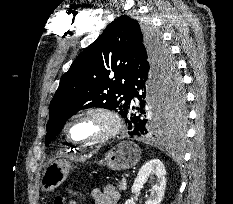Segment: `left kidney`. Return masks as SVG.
<instances>
[{
	"mask_svg": "<svg viewBox=\"0 0 233 204\" xmlns=\"http://www.w3.org/2000/svg\"><path fill=\"white\" fill-rule=\"evenodd\" d=\"M166 169L159 159H152L145 163L139 170V173L131 188L132 193L139 192L148 178L155 181L151 188L150 197L145 204H160L166 187ZM125 204H135L133 199H128Z\"/></svg>",
	"mask_w": 233,
	"mask_h": 204,
	"instance_id": "1",
	"label": "left kidney"
}]
</instances>
